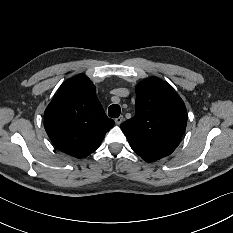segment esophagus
<instances>
[{
    "label": "esophagus",
    "instance_id": "34e87169",
    "mask_svg": "<svg viewBox=\"0 0 233 233\" xmlns=\"http://www.w3.org/2000/svg\"><path fill=\"white\" fill-rule=\"evenodd\" d=\"M123 120H124V117L122 115H120L118 118L115 119V123L117 125H120Z\"/></svg>",
    "mask_w": 233,
    "mask_h": 233
}]
</instances>
